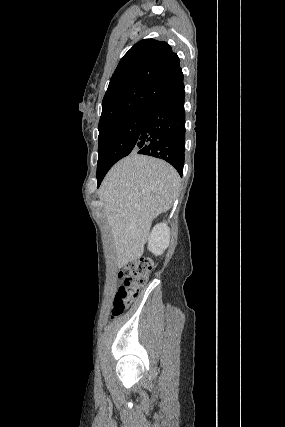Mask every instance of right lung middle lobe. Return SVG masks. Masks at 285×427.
I'll list each match as a JSON object with an SVG mask.
<instances>
[{
    "instance_id": "dd1d6c3e",
    "label": "right lung middle lobe",
    "mask_w": 285,
    "mask_h": 427,
    "mask_svg": "<svg viewBox=\"0 0 285 427\" xmlns=\"http://www.w3.org/2000/svg\"><path fill=\"white\" fill-rule=\"evenodd\" d=\"M145 115L146 109L136 110L98 126L97 174L107 172L118 160L135 149Z\"/></svg>"
}]
</instances>
